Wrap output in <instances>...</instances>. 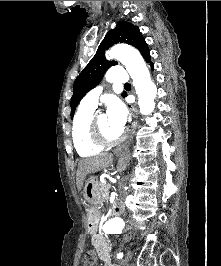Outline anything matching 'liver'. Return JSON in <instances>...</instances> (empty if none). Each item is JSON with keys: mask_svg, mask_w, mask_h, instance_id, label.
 <instances>
[{"mask_svg": "<svg viewBox=\"0 0 221 266\" xmlns=\"http://www.w3.org/2000/svg\"><path fill=\"white\" fill-rule=\"evenodd\" d=\"M113 154L103 153L94 157L82 159L78 163V170L76 172V185L80 191L83 188L84 181L89 174L96 173L100 170H105L113 164ZM126 168V159L120 155L118 161V171L121 172Z\"/></svg>", "mask_w": 221, "mask_h": 266, "instance_id": "liver-1", "label": "liver"}]
</instances>
